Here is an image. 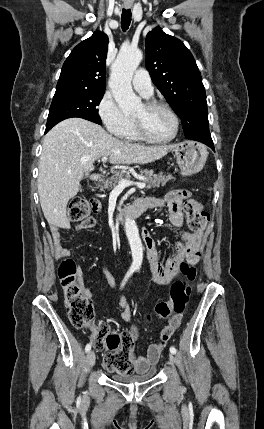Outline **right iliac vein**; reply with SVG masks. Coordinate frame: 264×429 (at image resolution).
<instances>
[{"mask_svg":"<svg viewBox=\"0 0 264 429\" xmlns=\"http://www.w3.org/2000/svg\"><path fill=\"white\" fill-rule=\"evenodd\" d=\"M96 356L94 351H89L87 354V362L90 367H93L95 365Z\"/></svg>","mask_w":264,"mask_h":429,"instance_id":"obj_1","label":"right iliac vein"}]
</instances>
